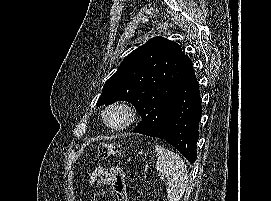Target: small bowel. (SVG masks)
Here are the masks:
<instances>
[{
  "label": "small bowel",
  "mask_w": 271,
  "mask_h": 201,
  "mask_svg": "<svg viewBox=\"0 0 271 201\" xmlns=\"http://www.w3.org/2000/svg\"><path fill=\"white\" fill-rule=\"evenodd\" d=\"M90 186L111 185L117 201H127V188L122 170L118 167H97L90 175Z\"/></svg>",
  "instance_id": "obj_1"
}]
</instances>
